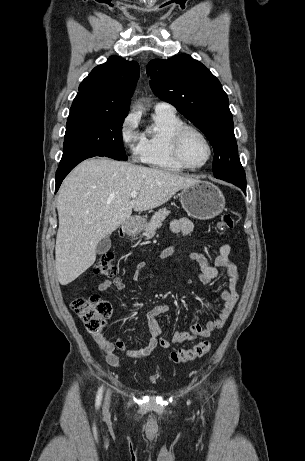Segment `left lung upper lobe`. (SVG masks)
Wrapping results in <instances>:
<instances>
[{
	"label": "left lung upper lobe",
	"mask_w": 305,
	"mask_h": 461,
	"mask_svg": "<svg viewBox=\"0 0 305 461\" xmlns=\"http://www.w3.org/2000/svg\"><path fill=\"white\" fill-rule=\"evenodd\" d=\"M146 71L153 92L193 122L210 141L215 154L214 176L246 183L228 97L219 80L202 63L186 54L152 60Z\"/></svg>",
	"instance_id": "1"
}]
</instances>
